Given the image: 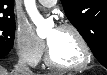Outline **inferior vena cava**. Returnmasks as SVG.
I'll list each match as a JSON object with an SVG mask.
<instances>
[{"label":"inferior vena cava","mask_w":107,"mask_h":75,"mask_svg":"<svg viewBox=\"0 0 107 75\" xmlns=\"http://www.w3.org/2000/svg\"><path fill=\"white\" fill-rule=\"evenodd\" d=\"M14 75H33L31 69L27 66L26 61L20 56L13 71Z\"/></svg>","instance_id":"1"}]
</instances>
